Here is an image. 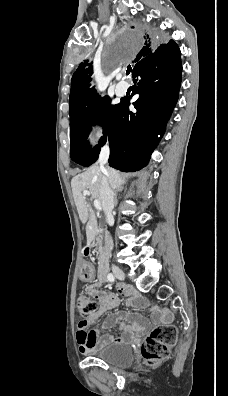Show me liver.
<instances>
[{"mask_svg":"<svg viewBox=\"0 0 228 396\" xmlns=\"http://www.w3.org/2000/svg\"><path fill=\"white\" fill-rule=\"evenodd\" d=\"M103 176L107 177L108 183L112 189L122 188L124 179H122L117 170L108 168L106 169V172L103 173L97 164L89 167L85 172L78 174L71 180L73 197L79 218L83 224L87 223V243H90L93 240L96 234L97 223L95 216L86 201V197L82 194V191H88L92 198L99 200L102 204L100 188Z\"/></svg>","mask_w":228,"mask_h":396,"instance_id":"liver-1","label":"liver"}]
</instances>
